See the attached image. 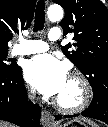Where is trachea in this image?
<instances>
[{"mask_svg":"<svg viewBox=\"0 0 108 127\" xmlns=\"http://www.w3.org/2000/svg\"><path fill=\"white\" fill-rule=\"evenodd\" d=\"M45 23V3L39 1L36 6L34 31L42 30Z\"/></svg>","mask_w":108,"mask_h":127,"instance_id":"3493384b","label":"trachea"}]
</instances>
